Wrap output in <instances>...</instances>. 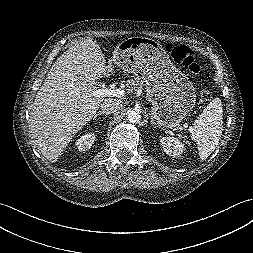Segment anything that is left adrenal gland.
Listing matches in <instances>:
<instances>
[{"label":"left adrenal gland","instance_id":"left-adrenal-gland-1","mask_svg":"<svg viewBox=\"0 0 253 253\" xmlns=\"http://www.w3.org/2000/svg\"><path fill=\"white\" fill-rule=\"evenodd\" d=\"M150 119H151V120H150L151 124H152L154 127H158L157 124L154 122L153 117H151Z\"/></svg>","mask_w":253,"mask_h":253}]
</instances>
